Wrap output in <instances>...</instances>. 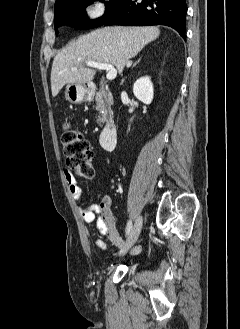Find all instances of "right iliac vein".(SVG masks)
<instances>
[{"instance_id":"obj_1","label":"right iliac vein","mask_w":240,"mask_h":329,"mask_svg":"<svg viewBox=\"0 0 240 329\" xmlns=\"http://www.w3.org/2000/svg\"><path fill=\"white\" fill-rule=\"evenodd\" d=\"M142 225H143L142 217L138 216L130 232V235L128 236V239L126 240L125 246L121 248L118 253L119 255L126 253L135 244V242L137 241L140 235Z\"/></svg>"}]
</instances>
